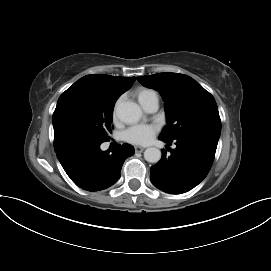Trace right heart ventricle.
<instances>
[{"label":"right heart ventricle","mask_w":271,"mask_h":271,"mask_svg":"<svg viewBox=\"0 0 271 271\" xmlns=\"http://www.w3.org/2000/svg\"><path fill=\"white\" fill-rule=\"evenodd\" d=\"M153 94H154V91L150 89H140L137 92V98L140 104L144 107Z\"/></svg>","instance_id":"e07e8e85"}]
</instances>
